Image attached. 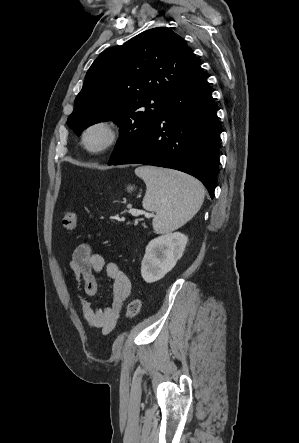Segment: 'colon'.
Wrapping results in <instances>:
<instances>
[{"label": "colon", "instance_id": "obj_1", "mask_svg": "<svg viewBox=\"0 0 299 443\" xmlns=\"http://www.w3.org/2000/svg\"><path fill=\"white\" fill-rule=\"evenodd\" d=\"M77 217L72 210H65L62 213V225L68 232H73L76 228ZM141 310V301L138 298L132 299L126 307V316L129 319L135 318Z\"/></svg>", "mask_w": 299, "mask_h": 443}]
</instances>
